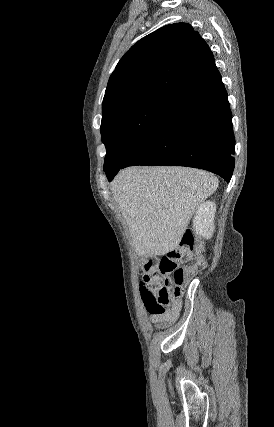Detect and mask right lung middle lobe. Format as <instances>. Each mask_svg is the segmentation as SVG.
<instances>
[{"mask_svg": "<svg viewBox=\"0 0 274 427\" xmlns=\"http://www.w3.org/2000/svg\"><path fill=\"white\" fill-rule=\"evenodd\" d=\"M175 100L169 95L150 94L116 104L102 113L101 136L107 151L104 167L125 162Z\"/></svg>", "mask_w": 274, "mask_h": 427, "instance_id": "obj_1", "label": "right lung middle lobe"}]
</instances>
